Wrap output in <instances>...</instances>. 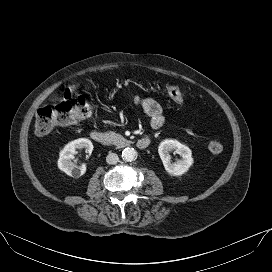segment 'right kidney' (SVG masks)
<instances>
[{
  "label": "right kidney",
  "instance_id": "ca27d5eb",
  "mask_svg": "<svg viewBox=\"0 0 272 272\" xmlns=\"http://www.w3.org/2000/svg\"><path fill=\"white\" fill-rule=\"evenodd\" d=\"M86 149L89 154L93 151V144L89 139L80 138L72 142H69L63 150L60 151L58 159V167L60 170L65 172L67 175L79 178L86 172V165L82 164L78 166L71 160L74 158L73 154L76 153V149Z\"/></svg>",
  "mask_w": 272,
  "mask_h": 272
}]
</instances>
